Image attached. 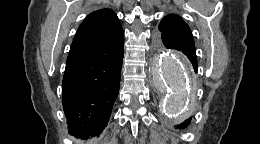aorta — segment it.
<instances>
[{
  "label": "aorta",
  "mask_w": 260,
  "mask_h": 144,
  "mask_svg": "<svg viewBox=\"0 0 260 144\" xmlns=\"http://www.w3.org/2000/svg\"><path fill=\"white\" fill-rule=\"evenodd\" d=\"M190 73V65L181 54L164 50L156 55L153 63L154 83L167 93L164 108L168 114L187 108L191 91Z\"/></svg>",
  "instance_id": "aorta-1"
}]
</instances>
